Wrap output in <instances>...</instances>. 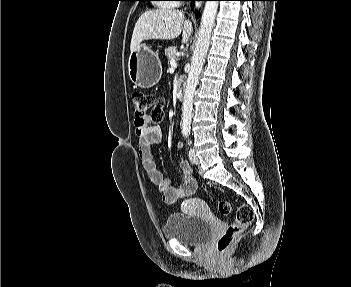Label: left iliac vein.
I'll return each instance as SVG.
<instances>
[{"instance_id": "obj_1", "label": "left iliac vein", "mask_w": 351, "mask_h": 287, "mask_svg": "<svg viewBox=\"0 0 351 287\" xmlns=\"http://www.w3.org/2000/svg\"><path fill=\"white\" fill-rule=\"evenodd\" d=\"M189 159L191 163L194 165H197L199 163L198 157L193 148H190L189 150Z\"/></svg>"}]
</instances>
